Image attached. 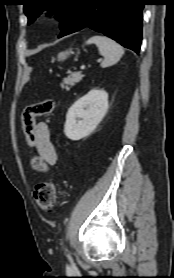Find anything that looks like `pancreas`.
I'll list each match as a JSON object with an SVG mask.
<instances>
[{
  "label": "pancreas",
  "instance_id": "1",
  "mask_svg": "<svg viewBox=\"0 0 174 278\" xmlns=\"http://www.w3.org/2000/svg\"><path fill=\"white\" fill-rule=\"evenodd\" d=\"M83 76L84 75H82L79 72L73 73L69 77L64 79L63 84L61 85V87L68 90L70 86H73V85H75V83L80 82L82 80Z\"/></svg>",
  "mask_w": 174,
  "mask_h": 278
}]
</instances>
